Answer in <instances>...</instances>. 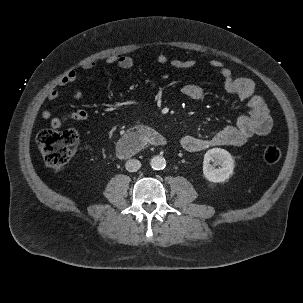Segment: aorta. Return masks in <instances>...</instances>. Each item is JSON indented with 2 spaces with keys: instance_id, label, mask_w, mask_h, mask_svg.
<instances>
[{
  "instance_id": "aorta-1",
  "label": "aorta",
  "mask_w": 303,
  "mask_h": 303,
  "mask_svg": "<svg viewBox=\"0 0 303 303\" xmlns=\"http://www.w3.org/2000/svg\"><path fill=\"white\" fill-rule=\"evenodd\" d=\"M150 165L154 170H162L166 167V160L162 156H155L151 159Z\"/></svg>"
}]
</instances>
